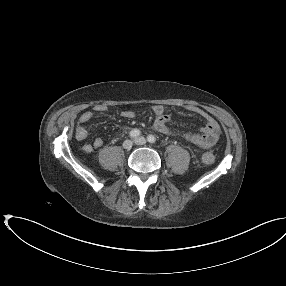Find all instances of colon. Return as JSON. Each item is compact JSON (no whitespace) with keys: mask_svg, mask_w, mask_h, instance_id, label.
<instances>
[{"mask_svg":"<svg viewBox=\"0 0 286 286\" xmlns=\"http://www.w3.org/2000/svg\"><path fill=\"white\" fill-rule=\"evenodd\" d=\"M215 161V157L212 153L210 152H205L202 155V162L206 165H210Z\"/></svg>","mask_w":286,"mask_h":286,"instance_id":"colon-1","label":"colon"}]
</instances>
